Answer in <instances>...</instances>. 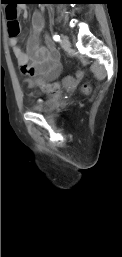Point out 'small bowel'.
Listing matches in <instances>:
<instances>
[{
    "label": "small bowel",
    "instance_id": "small-bowel-1",
    "mask_svg": "<svg viewBox=\"0 0 122 257\" xmlns=\"http://www.w3.org/2000/svg\"><path fill=\"white\" fill-rule=\"evenodd\" d=\"M7 12V11H6ZM17 14L28 18V10L25 6L18 7ZM44 27V16L41 11H36L32 17V34L27 42V51L24 52L18 43L17 36L10 37L9 44L17 59L21 72L30 77H37L40 83L55 80L61 72L59 54L55 48L48 43L42 46L38 36ZM37 98H46V89H40Z\"/></svg>",
    "mask_w": 122,
    "mask_h": 257
}]
</instances>
